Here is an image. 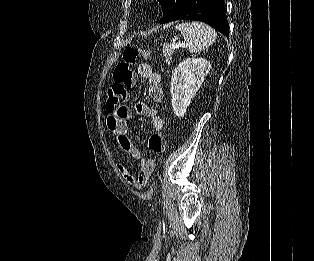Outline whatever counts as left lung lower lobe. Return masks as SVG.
<instances>
[{
    "label": "left lung lower lobe",
    "instance_id": "0a47b994",
    "mask_svg": "<svg viewBox=\"0 0 314 261\" xmlns=\"http://www.w3.org/2000/svg\"><path fill=\"white\" fill-rule=\"evenodd\" d=\"M175 20L202 21L229 37L223 0H184L169 22Z\"/></svg>",
    "mask_w": 314,
    "mask_h": 261
}]
</instances>
